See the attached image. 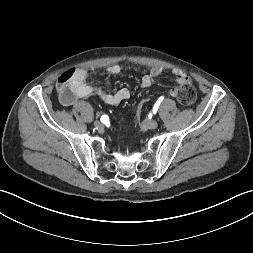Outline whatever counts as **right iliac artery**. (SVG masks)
Listing matches in <instances>:
<instances>
[{"mask_svg":"<svg viewBox=\"0 0 253 253\" xmlns=\"http://www.w3.org/2000/svg\"><path fill=\"white\" fill-rule=\"evenodd\" d=\"M108 116L107 115H103L102 117H101V122H103V123H105L106 121H108Z\"/></svg>","mask_w":253,"mask_h":253,"instance_id":"82829eb1","label":"right iliac artery"}]
</instances>
